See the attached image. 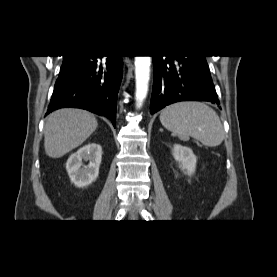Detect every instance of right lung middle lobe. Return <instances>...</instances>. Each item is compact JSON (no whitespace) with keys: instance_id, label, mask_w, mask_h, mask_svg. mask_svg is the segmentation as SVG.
<instances>
[{"instance_id":"obj_1","label":"right lung middle lobe","mask_w":277,"mask_h":277,"mask_svg":"<svg viewBox=\"0 0 277 277\" xmlns=\"http://www.w3.org/2000/svg\"><path fill=\"white\" fill-rule=\"evenodd\" d=\"M73 57H69V56H65L64 59H63V64L62 66L66 65ZM61 66V67H62Z\"/></svg>"}]
</instances>
